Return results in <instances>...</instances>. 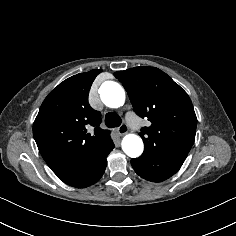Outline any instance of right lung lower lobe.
<instances>
[{"mask_svg":"<svg viewBox=\"0 0 236 236\" xmlns=\"http://www.w3.org/2000/svg\"><path fill=\"white\" fill-rule=\"evenodd\" d=\"M114 148V144L108 146L86 165L80 167L67 168L54 172L64 183L76 187L84 188L96 183L104 174L107 165V156Z\"/></svg>","mask_w":236,"mask_h":236,"instance_id":"98d812e1","label":"right lung lower lobe"}]
</instances>
